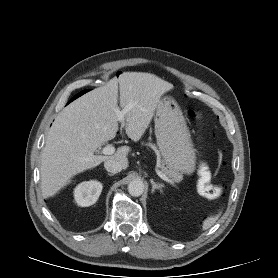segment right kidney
Instances as JSON below:
<instances>
[{
  "instance_id": "ca27d5eb",
  "label": "right kidney",
  "mask_w": 278,
  "mask_h": 278,
  "mask_svg": "<svg viewBox=\"0 0 278 278\" xmlns=\"http://www.w3.org/2000/svg\"><path fill=\"white\" fill-rule=\"evenodd\" d=\"M102 183L96 180L84 181L74 189V199L78 206L88 207L96 203L101 192Z\"/></svg>"
}]
</instances>
